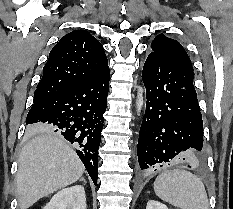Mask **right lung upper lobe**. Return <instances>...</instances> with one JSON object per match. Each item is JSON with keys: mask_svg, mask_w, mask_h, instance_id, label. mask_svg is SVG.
Wrapping results in <instances>:
<instances>
[{"mask_svg": "<svg viewBox=\"0 0 233 209\" xmlns=\"http://www.w3.org/2000/svg\"><path fill=\"white\" fill-rule=\"evenodd\" d=\"M108 67L101 43L88 31L75 30L53 47L34 93V102L85 83Z\"/></svg>", "mask_w": 233, "mask_h": 209, "instance_id": "cb5924a9", "label": "right lung upper lobe"}]
</instances>
